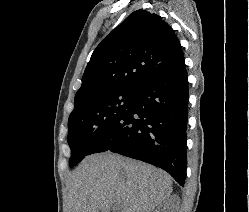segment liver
<instances>
[{"label": "liver", "instance_id": "6515ba94", "mask_svg": "<svg viewBox=\"0 0 249 212\" xmlns=\"http://www.w3.org/2000/svg\"><path fill=\"white\" fill-rule=\"evenodd\" d=\"M67 212H153L168 206L172 178L144 162L104 152L86 156L70 174Z\"/></svg>", "mask_w": 249, "mask_h": 212}]
</instances>
